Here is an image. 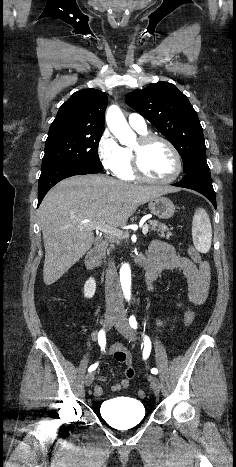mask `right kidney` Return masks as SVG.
<instances>
[{
    "mask_svg": "<svg viewBox=\"0 0 236 467\" xmlns=\"http://www.w3.org/2000/svg\"><path fill=\"white\" fill-rule=\"evenodd\" d=\"M96 291V282L94 278H89L84 285V296L86 298H92Z\"/></svg>",
    "mask_w": 236,
    "mask_h": 467,
    "instance_id": "right-kidney-1",
    "label": "right kidney"
}]
</instances>
